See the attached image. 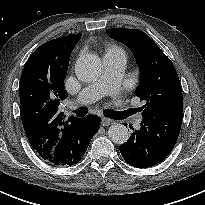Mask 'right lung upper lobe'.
Returning a JSON list of instances; mask_svg holds the SVG:
<instances>
[{"label": "right lung upper lobe", "mask_w": 205, "mask_h": 205, "mask_svg": "<svg viewBox=\"0 0 205 205\" xmlns=\"http://www.w3.org/2000/svg\"><path fill=\"white\" fill-rule=\"evenodd\" d=\"M81 38L72 34L50 40L36 49L23 69L19 93L20 114L32 148L46 160L64 130L77 118H65L58 105L67 98L64 79L71 52Z\"/></svg>", "instance_id": "1"}]
</instances>
